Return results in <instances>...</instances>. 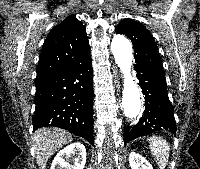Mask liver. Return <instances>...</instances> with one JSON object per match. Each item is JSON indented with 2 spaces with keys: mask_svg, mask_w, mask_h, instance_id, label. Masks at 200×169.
Instances as JSON below:
<instances>
[{
  "mask_svg": "<svg viewBox=\"0 0 200 169\" xmlns=\"http://www.w3.org/2000/svg\"><path fill=\"white\" fill-rule=\"evenodd\" d=\"M71 141V133L60 128L47 127L36 130L33 134V146L39 169H45L49 157Z\"/></svg>",
  "mask_w": 200,
  "mask_h": 169,
  "instance_id": "6515ba94",
  "label": "liver"
}]
</instances>
